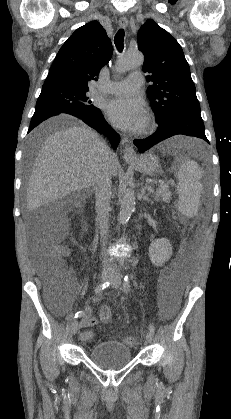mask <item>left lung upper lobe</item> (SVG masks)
<instances>
[{
  "mask_svg": "<svg viewBox=\"0 0 231 419\" xmlns=\"http://www.w3.org/2000/svg\"><path fill=\"white\" fill-rule=\"evenodd\" d=\"M138 48L145 57L146 79L154 82L147 96L157 120L166 123L183 112H200L190 68L176 39L149 19L139 29Z\"/></svg>",
  "mask_w": 231,
  "mask_h": 419,
  "instance_id": "obj_1",
  "label": "left lung upper lobe"
}]
</instances>
